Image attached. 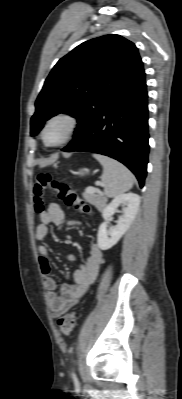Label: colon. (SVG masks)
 Here are the masks:
<instances>
[{"label": "colon", "mask_w": 182, "mask_h": 399, "mask_svg": "<svg viewBox=\"0 0 182 399\" xmlns=\"http://www.w3.org/2000/svg\"><path fill=\"white\" fill-rule=\"evenodd\" d=\"M48 190L53 191L67 206L74 207L82 214L92 215L90 206L79 194L72 191L68 184L55 179L47 172L37 174L33 187V201L38 213H42L44 210ZM75 322L76 315L74 312H70L59 317L57 324L64 335H69L75 327Z\"/></svg>", "instance_id": "obj_1"}]
</instances>
